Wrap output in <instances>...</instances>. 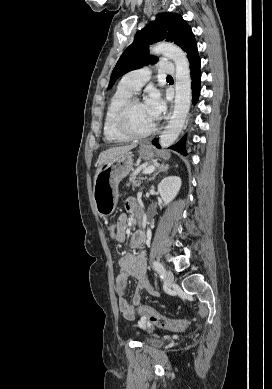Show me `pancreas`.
Masks as SVG:
<instances>
[{"mask_svg": "<svg viewBox=\"0 0 272 389\" xmlns=\"http://www.w3.org/2000/svg\"><path fill=\"white\" fill-rule=\"evenodd\" d=\"M145 168L146 167H140L138 170H136L134 173H132L129 176V179H128L129 180V185L131 184L133 188L140 185L142 178L141 177H137V174H138L139 171H142Z\"/></svg>", "mask_w": 272, "mask_h": 389, "instance_id": "obj_1", "label": "pancreas"}]
</instances>
